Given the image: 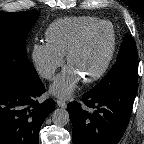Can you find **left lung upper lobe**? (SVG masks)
Returning <instances> with one entry per match:
<instances>
[{"label":"left lung upper lobe","instance_id":"left-lung-upper-lobe-1","mask_svg":"<svg viewBox=\"0 0 144 144\" xmlns=\"http://www.w3.org/2000/svg\"><path fill=\"white\" fill-rule=\"evenodd\" d=\"M137 60L138 53L134 39L130 34H125L117 62L94 88L111 90L138 84Z\"/></svg>","mask_w":144,"mask_h":144}]
</instances>
